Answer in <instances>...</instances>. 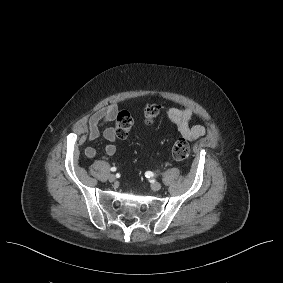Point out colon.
<instances>
[{
  "label": "colon",
  "instance_id": "colon-1",
  "mask_svg": "<svg viewBox=\"0 0 283 283\" xmlns=\"http://www.w3.org/2000/svg\"><path fill=\"white\" fill-rule=\"evenodd\" d=\"M161 111V104L150 103L144 110V121L152 123ZM133 126V118L128 111H121L115 121V133L117 138L123 139L128 136ZM190 154L189 143L184 138L177 139L172 146V156L176 161H184Z\"/></svg>",
  "mask_w": 283,
  "mask_h": 283
}]
</instances>
